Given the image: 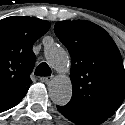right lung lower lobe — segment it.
<instances>
[{"label":"right lung lower lobe","instance_id":"1","mask_svg":"<svg viewBox=\"0 0 125 125\" xmlns=\"http://www.w3.org/2000/svg\"><path fill=\"white\" fill-rule=\"evenodd\" d=\"M15 106H16V105H15ZM12 107H14V106H12ZM12 107L0 109V112L6 111V110H8V109H10V108H12Z\"/></svg>","mask_w":125,"mask_h":125}]
</instances>
